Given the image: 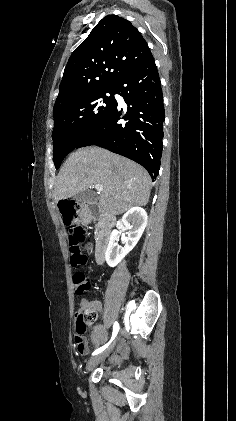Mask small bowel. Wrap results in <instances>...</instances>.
I'll return each instance as SVG.
<instances>
[{
    "instance_id": "small-bowel-1",
    "label": "small bowel",
    "mask_w": 236,
    "mask_h": 421,
    "mask_svg": "<svg viewBox=\"0 0 236 421\" xmlns=\"http://www.w3.org/2000/svg\"><path fill=\"white\" fill-rule=\"evenodd\" d=\"M82 305H90L92 307H94L96 310L101 311L102 310V305L100 302L98 301H83ZM103 328L101 325H97L94 327L93 332L91 333V340L95 343V344H99L100 342H102L105 339V335L104 338L100 341V342H96L95 338L97 336V332Z\"/></svg>"
}]
</instances>
